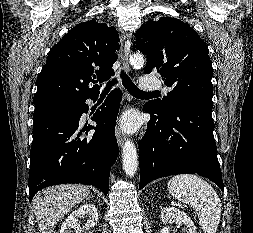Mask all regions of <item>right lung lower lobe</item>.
<instances>
[{"instance_id":"1","label":"right lung lower lobe","mask_w":253,"mask_h":233,"mask_svg":"<svg viewBox=\"0 0 253 233\" xmlns=\"http://www.w3.org/2000/svg\"><path fill=\"white\" fill-rule=\"evenodd\" d=\"M54 99L35 106L33 142L30 152V202L42 188L62 183L94 185L108 193L109 174L118 156L115 137L121 91L113 90L93 115L97 126L81 127L79 121L88 111V98ZM91 129L93 136L83 137Z\"/></svg>"}]
</instances>
